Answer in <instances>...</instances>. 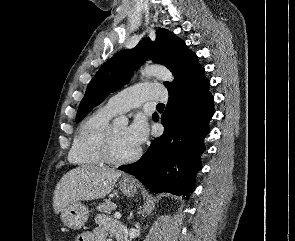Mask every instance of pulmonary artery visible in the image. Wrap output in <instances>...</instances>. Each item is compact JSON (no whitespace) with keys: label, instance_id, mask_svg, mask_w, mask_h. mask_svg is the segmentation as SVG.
Segmentation results:
<instances>
[{"label":"pulmonary artery","instance_id":"pulmonary-artery-1","mask_svg":"<svg viewBox=\"0 0 295 241\" xmlns=\"http://www.w3.org/2000/svg\"><path fill=\"white\" fill-rule=\"evenodd\" d=\"M167 96L163 85L141 83L124 89L109 98L106 107L116 113H122L140 106L146 100L165 101Z\"/></svg>","mask_w":295,"mask_h":241}]
</instances>
